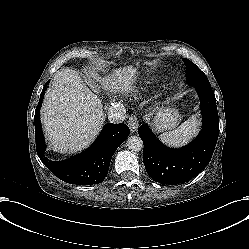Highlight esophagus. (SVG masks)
<instances>
[{"instance_id": "1", "label": "esophagus", "mask_w": 249, "mask_h": 249, "mask_svg": "<svg viewBox=\"0 0 249 249\" xmlns=\"http://www.w3.org/2000/svg\"><path fill=\"white\" fill-rule=\"evenodd\" d=\"M128 126L130 128L131 133H135L138 130L139 123L135 115L129 117Z\"/></svg>"}]
</instances>
